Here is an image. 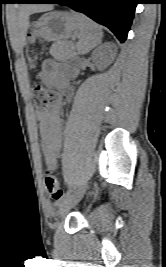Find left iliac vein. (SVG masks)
I'll return each instance as SVG.
<instances>
[{
	"label": "left iliac vein",
	"mask_w": 166,
	"mask_h": 267,
	"mask_svg": "<svg viewBox=\"0 0 166 267\" xmlns=\"http://www.w3.org/2000/svg\"><path fill=\"white\" fill-rule=\"evenodd\" d=\"M87 185H83L72 195L68 196L65 202L61 205L60 209L57 212L58 216H63L66 214L72 207H74L85 194Z\"/></svg>",
	"instance_id": "left-iliac-vein-1"
}]
</instances>
